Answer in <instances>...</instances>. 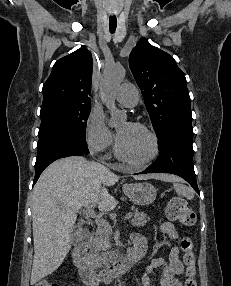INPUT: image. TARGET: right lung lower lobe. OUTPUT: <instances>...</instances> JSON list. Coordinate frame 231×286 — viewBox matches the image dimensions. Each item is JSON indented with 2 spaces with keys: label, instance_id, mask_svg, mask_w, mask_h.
Masks as SVG:
<instances>
[{
  "label": "right lung lower lobe",
  "instance_id": "obj_1",
  "mask_svg": "<svg viewBox=\"0 0 231 286\" xmlns=\"http://www.w3.org/2000/svg\"><path fill=\"white\" fill-rule=\"evenodd\" d=\"M38 155L35 163V184L42 171L53 161L68 157L88 154L85 140L72 136H61L50 139L37 146Z\"/></svg>",
  "mask_w": 231,
  "mask_h": 286
}]
</instances>
